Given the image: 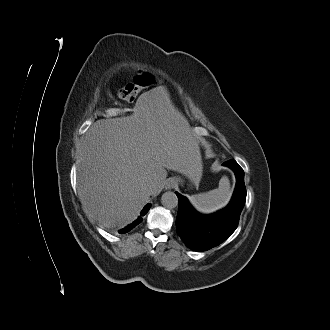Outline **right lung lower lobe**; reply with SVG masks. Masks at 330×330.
<instances>
[{
  "instance_id": "obj_1",
  "label": "right lung lower lobe",
  "mask_w": 330,
  "mask_h": 330,
  "mask_svg": "<svg viewBox=\"0 0 330 330\" xmlns=\"http://www.w3.org/2000/svg\"><path fill=\"white\" fill-rule=\"evenodd\" d=\"M150 208V204H147L143 210L141 211L140 215L132 224H130L129 226L123 228L120 230V233L121 234H124V233H127L129 232L130 230H132L135 226H137L141 221H142V216L146 215V213L148 212Z\"/></svg>"
}]
</instances>
